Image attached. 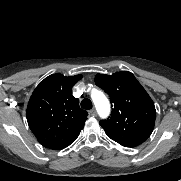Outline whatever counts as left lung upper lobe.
<instances>
[{
	"label": "left lung upper lobe",
	"instance_id": "obj_1",
	"mask_svg": "<svg viewBox=\"0 0 181 181\" xmlns=\"http://www.w3.org/2000/svg\"><path fill=\"white\" fill-rule=\"evenodd\" d=\"M95 83L113 104L111 116L99 122L106 135L124 147H136L146 141L154 129L156 110L135 76L128 71L110 76L97 74Z\"/></svg>",
	"mask_w": 181,
	"mask_h": 181
}]
</instances>
